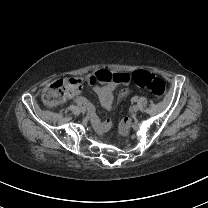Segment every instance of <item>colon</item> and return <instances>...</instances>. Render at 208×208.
<instances>
[{
	"label": "colon",
	"instance_id": "1",
	"mask_svg": "<svg viewBox=\"0 0 208 208\" xmlns=\"http://www.w3.org/2000/svg\"><path fill=\"white\" fill-rule=\"evenodd\" d=\"M132 80L139 88L149 91L153 97L162 98L166 92V86L162 79L149 72L135 71L132 74ZM106 82L125 83L127 79L118 78L115 73L108 70L97 71L85 81L74 76L68 79H59L43 88L42 99L49 106H58L62 102L70 101L75 93L82 92L84 86ZM119 127L123 131H130L133 129L134 124L130 119L123 118L119 122Z\"/></svg>",
	"mask_w": 208,
	"mask_h": 208
}]
</instances>
